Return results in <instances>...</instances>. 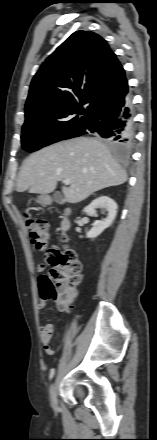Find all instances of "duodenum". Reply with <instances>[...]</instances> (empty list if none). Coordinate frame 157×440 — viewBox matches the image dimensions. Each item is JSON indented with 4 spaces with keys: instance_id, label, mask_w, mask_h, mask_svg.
<instances>
[{
    "instance_id": "obj_1",
    "label": "duodenum",
    "mask_w": 157,
    "mask_h": 440,
    "mask_svg": "<svg viewBox=\"0 0 157 440\" xmlns=\"http://www.w3.org/2000/svg\"><path fill=\"white\" fill-rule=\"evenodd\" d=\"M69 215H70V210H66L60 222V230L62 233H66L70 228Z\"/></svg>"
}]
</instances>
